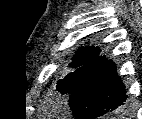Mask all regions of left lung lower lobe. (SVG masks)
Listing matches in <instances>:
<instances>
[{
    "label": "left lung lower lobe",
    "instance_id": "left-lung-lower-lobe-1",
    "mask_svg": "<svg viewBox=\"0 0 142 119\" xmlns=\"http://www.w3.org/2000/svg\"><path fill=\"white\" fill-rule=\"evenodd\" d=\"M126 99L115 65L104 58L70 93L69 106L76 119H97L123 106Z\"/></svg>",
    "mask_w": 142,
    "mask_h": 119
}]
</instances>
